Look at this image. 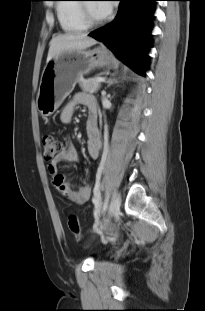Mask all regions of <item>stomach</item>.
<instances>
[{
	"mask_svg": "<svg viewBox=\"0 0 205 311\" xmlns=\"http://www.w3.org/2000/svg\"><path fill=\"white\" fill-rule=\"evenodd\" d=\"M116 65L114 57L103 48L63 52L47 61L36 99L39 112L45 117L52 115L83 75L96 68Z\"/></svg>",
	"mask_w": 205,
	"mask_h": 311,
	"instance_id": "0dacf381",
	"label": "stomach"
}]
</instances>
